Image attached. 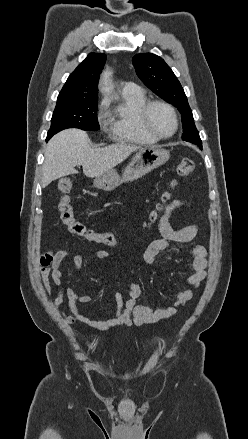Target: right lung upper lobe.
<instances>
[{"instance_id":"1","label":"right lung upper lobe","mask_w":248,"mask_h":439,"mask_svg":"<svg viewBox=\"0 0 248 439\" xmlns=\"http://www.w3.org/2000/svg\"><path fill=\"white\" fill-rule=\"evenodd\" d=\"M105 60V54L90 53L70 74L58 98H98L97 83Z\"/></svg>"}]
</instances>
